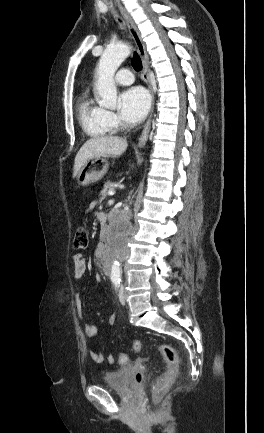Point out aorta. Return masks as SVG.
I'll return each instance as SVG.
<instances>
[{
	"mask_svg": "<svg viewBox=\"0 0 264 433\" xmlns=\"http://www.w3.org/2000/svg\"><path fill=\"white\" fill-rule=\"evenodd\" d=\"M128 45L108 46L98 64L97 90L101 97V105L105 108L114 109L117 101V89L114 83V74L120 64L129 56ZM113 261L111 265V278L121 277V266L116 249L112 251Z\"/></svg>",
	"mask_w": 264,
	"mask_h": 433,
	"instance_id": "aorta-1",
	"label": "aorta"
}]
</instances>
